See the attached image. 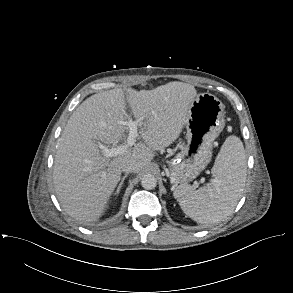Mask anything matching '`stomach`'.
<instances>
[{"mask_svg": "<svg viewBox=\"0 0 293 293\" xmlns=\"http://www.w3.org/2000/svg\"><path fill=\"white\" fill-rule=\"evenodd\" d=\"M224 104L209 93L198 94L186 120L187 143L170 163L174 185L187 184L208 165L214 140L224 128Z\"/></svg>", "mask_w": 293, "mask_h": 293, "instance_id": "stomach-1", "label": "stomach"}]
</instances>
